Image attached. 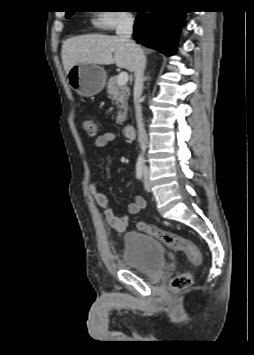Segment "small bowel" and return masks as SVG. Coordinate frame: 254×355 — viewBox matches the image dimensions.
Here are the masks:
<instances>
[{"label":"small bowel","mask_w":254,"mask_h":355,"mask_svg":"<svg viewBox=\"0 0 254 355\" xmlns=\"http://www.w3.org/2000/svg\"><path fill=\"white\" fill-rule=\"evenodd\" d=\"M116 140L117 136L115 134L103 133L96 137L94 146L98 149L104 148L109 143L115 142ZM89 191L97 205L103 210L107 223L117 234H122L126 230L129 223V216L137 215L146 207L147 204L144 197L137 195L128 206V215L118 216L109 206L107 197L99 191L96 184H91Z\"/></svg>","instance_id":"obj_1"}]
</instances>
